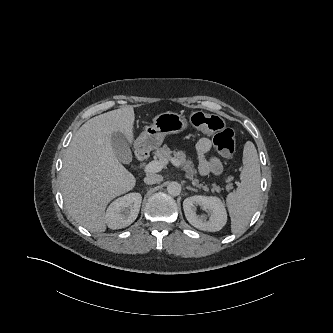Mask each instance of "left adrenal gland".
<instances>
[{"label":"left adrenal gland","mask_w":333,"mask_h":333,"mask_svg":"<svg viewBox=\"0 0 333 333\" xmlns=\"http://www.w3.org/2000/svg\"><path fill=\"white\" fill-rule=\"evenodd\" d=\"M186 188H187L188 190H191V191L197 192V189H195V188H193V187L187 186Z\"/></svg>","instance_id":"1"}]
</instances>
